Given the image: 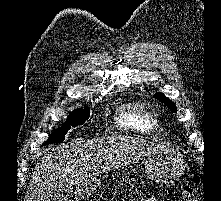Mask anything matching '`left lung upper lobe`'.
<instances>
[{"label": "left lung upper lobe", "instance_id": "5c2ea615", "mask_svg": "<svg viewBox=\"0 0 221 201\" xmlns=\"http://www.w3.org/2000/svg\"><path fill=\"white\" fill-rule=\"evenodd\" d=\"M154 96L155 98L163 102L165 105H167L172 112H176V105L172 101H170V99L167 98L164 94L156 93Z\"/></svg>", "mask_w": 221, "mask_h": 201}]
</instances>
